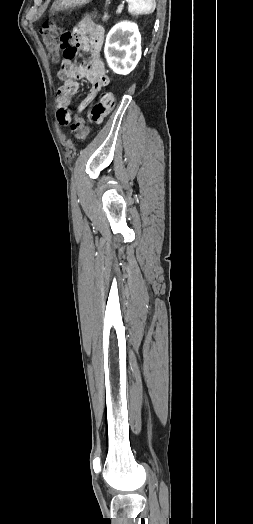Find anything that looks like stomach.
<instances>
[{
    "label": "stomach",
    "mask_w": 253,
    "mask_h": 524,
    "mask_svg": "<svg viewBox=\"0 0 253 524\" xmlns=\"http://www.w3.org/2000/svg\"><path fill=\"white\" fill-rule=\"evenodd\" d=\"M91 0H55L52 5L54 12L63 11L69 8L79 7L87 4Z\"/></svg>",
    "instance_id": "obj_1"
}]
</instances>
